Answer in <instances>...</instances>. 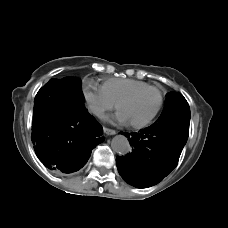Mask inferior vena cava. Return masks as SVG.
I'll return each instance as SVG.
<instances>
[{
	"label": "inferior vena cava",
	"instance_id": "602c4592",
	"mask_svg": "<svg viewBox=\"0 0 228 228\" xmlns=\"http://www.w3.org/2000/svg\"><path fill=\"white\" fill-rule=\"evenodd\" d=\"M89 111L98 117H101L104 113V109L100 106H97V105H90Z\"/></svg>",
	"mask_w": 228,
	"mask_h": 228
}]
</instances>
